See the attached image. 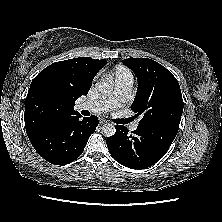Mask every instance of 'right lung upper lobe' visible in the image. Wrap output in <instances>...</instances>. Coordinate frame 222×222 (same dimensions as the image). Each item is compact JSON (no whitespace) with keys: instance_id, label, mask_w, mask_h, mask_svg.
Returning a JSON list of instances; mask_svg holds the SVG:
<instances>
[{"instance_id":"obj_1","label":"right lung upper lobe","mask_w":222,"mask_h":222,"mask_svg":"<svg viewBox=\"0 0 222 222\" xmlns=\"http://www.w3.org/2000/svg\"><path fill=\"white\" fill-rule=\"evenodd\" d=\"M104 59L79 57L55 62L32 81L25 99V128L29 133L52 121L80 115L75 101L87 95Z\"/></svg>"}]
</instances>
